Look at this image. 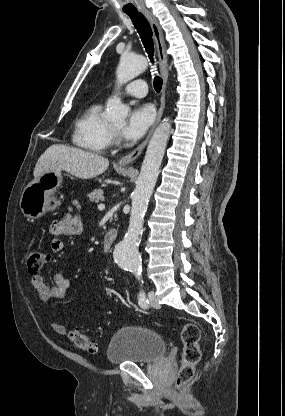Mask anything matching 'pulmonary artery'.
<instances>
[{"label": "pulmonary artery", "mask_w": 285, "mask_h": 416, "mask_svg": "<svg viewBox=\"0 0 285 416\" xmlns=\"http://www.w3.org/2000/svg\"><path fill=\"white\" fill-rule=\"evenodd\" d=\"M145 84L146 83L143 79H136L126 86L125 91L127 94L132 96L144 97L148 94V89L143 87Z\"/></svg>", "instance_id": "e3ab8cb5"}]
</instances>
